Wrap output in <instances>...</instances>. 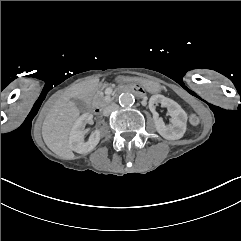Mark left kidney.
<instances>
[{"label": "left kidney", "instance_id": "1", "mask_svg": "<svg viewBox=\"0 0 241 241\" xmlns=\"http://www.w3.org/2000/svg\"><path fill=\"white\" fill-rule=\"evenodd\" d=\"M154 105L166 107L171 117L172 129H168L161 118L154 115L155 129L158 134L166 140H179L186 132L187 114L181 106L172 99L162 95H153L149 100V107L154 111Z\"/></svg>", "mask_w": 241, "mask_h": 241}]
</instances>
